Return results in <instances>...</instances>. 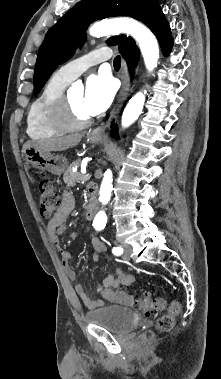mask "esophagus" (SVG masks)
I'll return each mask as SVG.
<instances>
[{
	"instance_id": "1",
	"label": "esophagus",
	"mask_w": 221,
	"mask_h": 379,
	"mask_svg": "<svg viewBox=\"0 0 221 379\" xmlns=\"http://www.w3.org/2000/svg\"><path fill=\"white\" fill-rule=\"evenodd\" d=\"M121 88L119 90V93L117 95L116 103L112 109V112L110 114L109 119L102 123L100 126L96 127L92 132V136H103L105 134L106 129L110 126L111 121L116 118L117 114L119 113L125 99L128 96L129 87H130V79L128 74V67L124 59H122V65H121Z\"/></svg>"
}]
</instances>
